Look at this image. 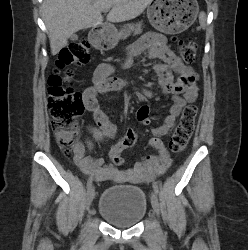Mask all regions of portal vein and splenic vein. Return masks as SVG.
Instances as JSON below:
<instances>
[{
  "label": "portal vein and splenic vein",
  "instance_id": "obj_1",
  "mask_svg": "<svg viewBox=\"0 0 248 250\" xmlns=\"http://www.w3.org/2000/svg\"><path fill=\"white\" fill-rule=\"evenodd\" d=\"M108 11H109V8L103 10V12H108Z\"/></svg>",
  "mask_w": 248,
  "mask_h": 250
}]
</instances>
